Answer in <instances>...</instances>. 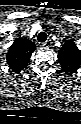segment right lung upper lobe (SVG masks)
<instances>
[{
    "mask_svg": "<svg viewBox=\"0 0 81 124\" xmlns=\"http://www.w3.org/2000/svg\"><path fill=\"white\" fill-rule=\"evenodd\" d=\"M36 45L29 39L16 38L10 46L6 60L13 71L20 72L27 67Z\"/></svg>",
    "mask_w": 81,
    "mask_h": 124,
    "instance_id": "1",
    "label": "right lung upper lobe"
}]
</instances>
